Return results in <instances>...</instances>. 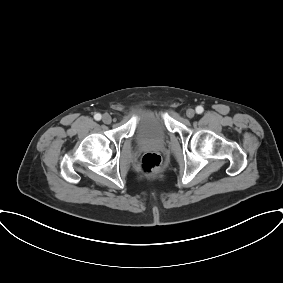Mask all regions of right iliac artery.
Masks as SVG:
<instances>
[{"mask_svg": "<svg viewBox=\"0 0 283 283\" xmlns=\"http://www.w3.org/2000/svg\"><path fill=\"white\" fill-rule=\"evenodd\" d=\"M94 119L99 121L101 119V114H99V113L95 114Z\"/></svg>", "mask_w": 283, "mask_h": 283, "instance_id": "obj_1", "label": "right iliac artery"}]
</instances>
